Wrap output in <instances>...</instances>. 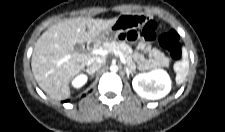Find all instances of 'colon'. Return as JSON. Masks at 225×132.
<instances>
[{
  "mask_svg": "<svg viewBox=\"0 0 225 132\" xmlns=\"http://www.w3.org/2000/svg\"><path fill=\"white\" fill-rule=\"evenodd\" d=\"M156 23L146 21L121 34L122 39L135 41L138 39L150 41L156 38ZM160 45L166 49L172 59L178 60L181 57V43L178 34L171 30L159 36Z\"/></svg>",
  "mask_w": 225,
  "mask_h": 132,
  "instance_id": "1",
  "label": "colon"
}]
</instances>
